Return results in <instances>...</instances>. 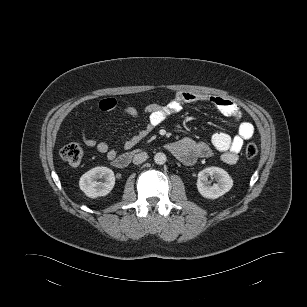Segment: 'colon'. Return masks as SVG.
Instances as JSON below:
<instances>
[{
  "label": "colon",
  "mask_w": 307,
  "mask_h": 307,
  "mask_svg": "<svg viewBox=\"0 0 307 307\" xmlns=\"http://www.w3.org/2000/svg\"><path fill=\"white\" fill-rule=\"evenodd\" d=\"M258 154V146L254 142H250L245 147V156L249 159L256 157ZM83 151L79 144L69 143L62 147L60 151L61 158L69 164L76 165L82 159Z\"/></svg>",
  "instance_id": "1"
}]
</instances>
